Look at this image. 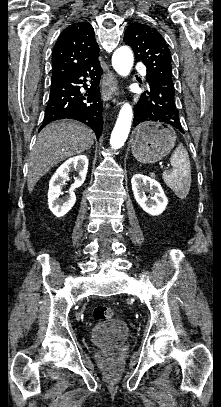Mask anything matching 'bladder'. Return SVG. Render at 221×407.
I'll list each match as a JSON object with an SVG mask.
<instances>
[{"mask_svg":"<svg viewBox=\"0 0 221 407\" xmlns=\"http://www.w3.org/2000/svg\"><path fill=\"white\" fill-rule=\"evenodd\" d=\"M93 342L99 345L121 346L129 338V325L124 319H114L108 324H96L90 333Z\"/></svg>","mask_w":221,"mask_h":407,"instance_id":"31cf9c89","label":"bladder"}]
</instances>
